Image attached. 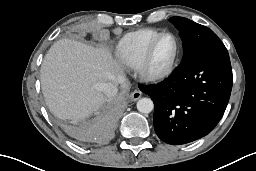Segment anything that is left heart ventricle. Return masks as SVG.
I'll use <instances>...</instances> for the list:
<instances>
[{"instance_id": "1", "label": "left heart ventricle", "mask_w": 256, "mask_h": 171, "mask_svg": "<svg viewBox=\"0 0 256 171\" xmlns=\"http://www.w3.org/2000/svg\"><path fill=\"white\" fill-rule=\"evenodd\" d=\"M175 42L172 37L163 38L156 46L152 56V67L162 69L166 67L173 58Z\"/></svg>"}]
</instances>
